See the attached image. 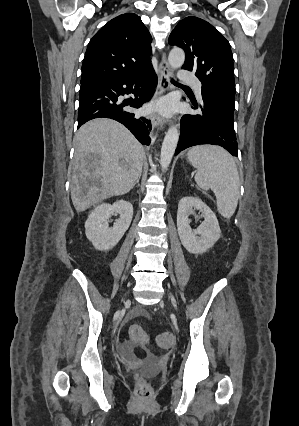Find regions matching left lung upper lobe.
<instances>
[{
	"label": "left lung upper lobe",
	"mask_w": 299,
	"mask_h": 426,
	"mask_svg": "<svg viewBox=\"0 0 299 426\" xmlns=\"http://www.w3.org/2000/svg\"><path fill=\"white\" fill-rule=\"evenodd\" d=\"M169 44L185 51L182 68L195 72L202 82V91L234 105L233 55L229 42L216 28L200 18L186 17L170 34Z\"/></svg>",
	"instance_id": "5c2ea615"
}]
</instances>
